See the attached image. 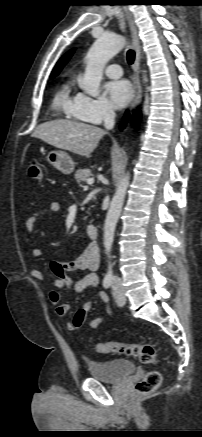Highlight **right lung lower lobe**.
Wrapping results in <instances>:
<instances>
[{
    "instance_id": "right-lung-lower-lobe-1",
    "label": "right lung lower lobe",
    "mask_w": 202,
    "mask_h": 437,
    "mask_svg": "<svg viewBox=\"0 0 202 437\" xmlns=\"http://www.w3.org/2000/svg\"><path fill=\"white\" fill-rule=\"evenodd\" d=\"M140 116H141V115H140V112H139V111H136L135 114H134V116H133V119H132V121H133L134 124H138V122H139V120H140ZM128 119H129V111H126V114H125V116H124V118H123L122 124L120 125V128H121V129L124 128V126H125L126 122L128 121Z\"/></svg>"
}]
</instances>
